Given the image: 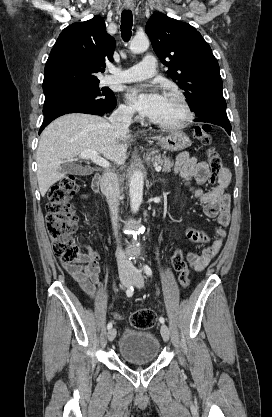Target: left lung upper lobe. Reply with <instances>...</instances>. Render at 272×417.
I'll list each match as a JSON object with an SVG mask.
<instances>
[{"instance_id": "1", "label": "left lung upper lobe", "mask_w": 272, "mask_h": 417, "mask_svg": "<svg viewBox=\"0 0 272 417\" xmlns=\"http://www.w3.org/2000/svg\"><path fill=\"white\" fill-rule=\"evenodd\" d=\"M145 32L157 56L169 67L168 76L185 90L196 116L230 125L219 65L201 34L162 13L150 17Z\"/></svg>"}]
</instances>
